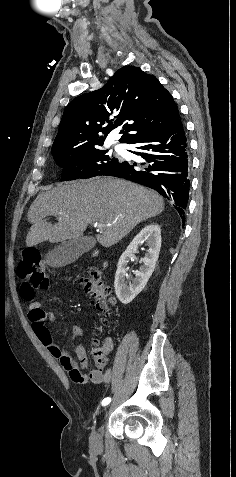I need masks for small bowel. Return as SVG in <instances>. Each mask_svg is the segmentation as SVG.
<instances>
[{"label":"small bowel","instance_id":"1","mask_svg":"<svg viewBox=\"0 0 236 477\" xmlns=\"http://www.w3.org/2000/svg\"><path fill=\"white\" fill-rule=\"evenodd\" d=\"M28 318L31 322L32 330L39 341L48 349L50 354L58 359L69 374L70 378L77 384H83L88 381L92 383L108 382L112 375V370L108 369L105 373L99 370H91L83 373L81 369L88 368V357L86 349L78 340L86 331L83 326H74L71 330L72 351L63 349L53 338L49 324L55 322L56 314L45 311L42 303L33 302L29 305ZM105 355H110L113 350V341L106 339L102 347Z\"/></svg>","mask_w":236,"mask_h":477}]
</instances>
